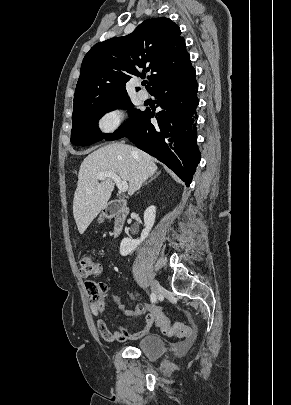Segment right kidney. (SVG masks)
<instances>
[{
  "mask_svg": "<svg viewBox=\"0 0 291 405\" xmlns=\"http://www.w3.org/2000/svg\"><path fill=\"white\" fill-rule=\"evenodd\" d=\"M156 217V207L150 206L144 212L145 228L141 233L140 239L124 238L120 243V254L127 256L132 253L149 235Z\"/></svg>",
  "mask_w": 291,
  "mask_h": 405,
  "instance_id": "right-kidney-1",
  "label": "right kidney"
}]
</instances>
